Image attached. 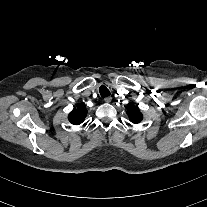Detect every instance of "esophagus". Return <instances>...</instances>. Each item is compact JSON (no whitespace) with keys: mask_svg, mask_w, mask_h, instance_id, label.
<instances>
[{"mask_svg":"<svg viewBox=\"0 0 207 207\" xmlns=\"http://www.w3.org/2000/svg\"><path fill=\"white\" fill-rule=\"evenodd\" d=\"M112 100V97L111 96H107L104 98V101L107 102V103H110Z\"/></svg>","mask_w":207,"mask_h":207,"instance_id":"34e87169","label":"esophagus"}]
</instances>
